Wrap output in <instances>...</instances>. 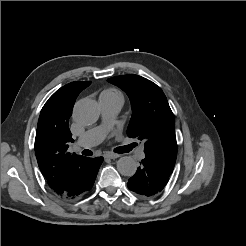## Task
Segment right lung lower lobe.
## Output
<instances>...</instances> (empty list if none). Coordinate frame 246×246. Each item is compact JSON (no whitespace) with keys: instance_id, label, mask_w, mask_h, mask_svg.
Segmentation results:
<instances>
[{"instance_id":"obj_1","label":"right lung lower lobe","mask_w":246,"mask_h":246,"mask_svg":"<svg viewBox=\"0 0 246 246\" xmlns=\"http://www.w3.org/2000/svg\"><path fill=\"white\" fill-rule=\"evenodd\" d=\"M103 158L86 157L67 177L63 186L55 192L64 199H77L88 192L95 181Z\"/></svg>"}]
</instances>
